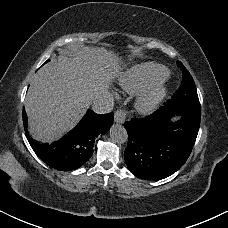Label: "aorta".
<instances>
[{
    "label": "aorta",
    "mask_w": 228,
    "mask_h": 228,
    "mask_svg": "<svg viewBox=\"0 0 228 228\" xmlns=\"http://www.w3.org/2000/svg\"><path fill=\"white\" fill-rule=\"evenodd\" d=\"M110 137L115 143H125L128 140L126 129L120 124H114L110 129Z\"/></svg>",
    "instance_id": "762f6f07"
}]
</instances>
